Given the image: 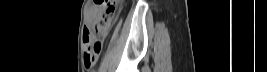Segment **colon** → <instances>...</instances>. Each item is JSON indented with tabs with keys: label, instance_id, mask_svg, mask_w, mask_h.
I'll return each mask as SVG.
<instances>
[{
	"label": "colon",
	"instance_id": "colon-1",
	"mask_svg": "<svg viewBox=\"0 0 267 72\" xmlns=\"http://www.w3.org/2000/svg\"><path fill=\"white\" fill-rule=\"evenodd\" d=\"M121 1L119 0H96L95 1V13L96 23L94 30H88L83 39L84 53L86 57L84 62L92 65L97 62V55L101 50V40L94 33H105L115 15L118 12Z\"/></svg>",
	"mask_w": 267,
	"mask_h": 72
}]
</instances>
